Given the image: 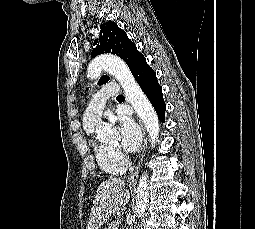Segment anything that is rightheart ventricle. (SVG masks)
Returning a JSON list of instances; mask_svg holds the SVG:
<instances>
[{
	"label": "right heart ventricle",
	"mask_w": 255,
	"mask_h": 229,
	"mask_svg": "<svg viewBox=\"0 0 255 229\" xmlns=\"http://www.w3.org/2000/svg\"><path fill=\"white\" fill-rule=\"evenodd\" d=\"M96 125L84 123L85 132L91 137V147L94 157L100 169L109 175H122L128 166V163L109 146L101 144L93 137Z\"/></svg>",
	"instance_id": "e07e8e85"
}]
</instances>
